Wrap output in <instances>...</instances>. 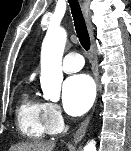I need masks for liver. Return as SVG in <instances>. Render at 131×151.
Instances as JSON below:
<instances>
[{"mask_svg":"<svg viewBox=\"0 0 131 151\" xmlns=\"http://www.w3.org/2000/svg\"><path fill=\"white\" fill-rule=\"evenodd\" d=\"M54 142H27L10 148V151H52Z\"/></svg>","mask_w":131,"mask_h":151,"instance_id":"1","label":"liver"}]
</instances>
